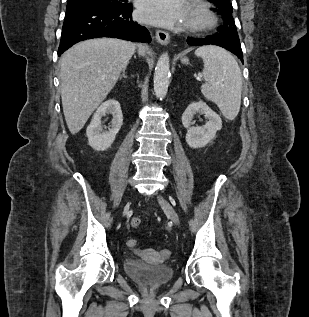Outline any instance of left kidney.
<instances>
[{"mask_svg":"<svg viewBox=\"0 0 309 317\" xmlns=\"http://www.w3.org/2000/svg\"><path fill=\"white\" fill-rule=\"evenodd\" d=\"M205 114L207 122L204 126H192L196 114ZM182 124L187 129L186 142L191 148H202L215 137L216 132L222 128L220 116L208 107L203 101L191 103L182 115Z\"/></svg>","mask_w":309,"mask_h":317,"instance_id":"obj_1","label":"left kidney"}]
</instances>
